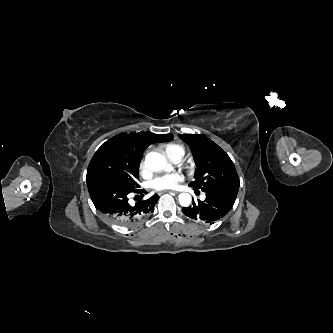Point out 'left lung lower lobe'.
Masks as SVG:
<instances>
[{"mask_svg": "<svg viewBox=\"0 0 333 333\" xmlns=\"http://www.w3.org/2000/svg\"><path fill=\"white\" fill-rule=\"evenodd\" d=\"M236 196L233 193H206L204 201L193 202L192 206L183 207L182 212L193 220L213 224L231 210Z\"/></svg>", "mask_w": 333, "mask_h": 333, "instance_id": "0a47b994", "label": "left lung lower lobe"}]
</instances>
